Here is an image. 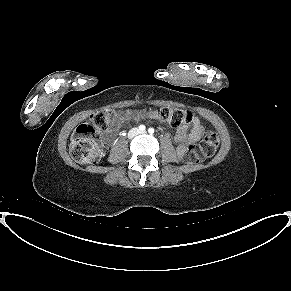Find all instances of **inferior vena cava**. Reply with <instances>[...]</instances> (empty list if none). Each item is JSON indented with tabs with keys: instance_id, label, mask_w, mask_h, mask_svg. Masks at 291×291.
I'll return each mask as SVG.
<instances>
[{
	"instance_id": "inferior-vena-cava-1",
	"label": "inferior vena cava",
	"mask_w": 291,
	"mask_h": 291,
	"mask_svg": "<svg viewBox=\"0 0 291 291\" xmlns=\"http://www.w3.org/2000/svg\"><path fill=\"white\" fill-rule=\"evenodd\" d=\"M139 133H140V131H139L138 128H133V129H131V131H130V137H133V136H135V135H137V134H139Z\"/></svg>"
}]
</instances>
